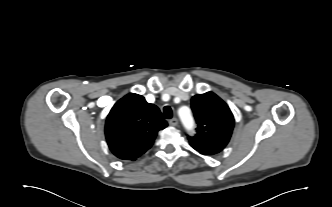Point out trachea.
Segmentation results:
<instances>
[{"instance_id":"1","label":"trachea","mask_w":332,"mask_h":207,"mask_svg":"<svg viewBox=\"0 0 332 207\" xmlns=\"http://www.w3.org/2000/svg\"><path fill=\"white\" fill-rule=\"evenodd\" d=\"M163 112H164L165 118H167V119L172 118V109L170 106H165L163 109Z\"/></svg>"}]
</instances>
